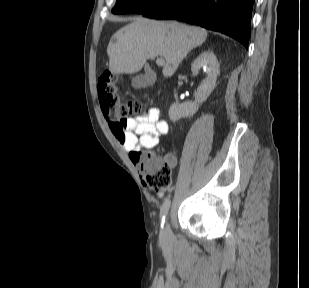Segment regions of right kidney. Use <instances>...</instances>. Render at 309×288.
Listing matches in <instances>:
<instances>
[{
  "label": "right kidney",
  "instance_id": "ca27d5eb",
  "mask_svg": "<svg viewBox=\"0 0 309 288\" xmlns=\"http://www.w3.org/2000/svg\"><path fill=\"white\" fill-rule=\"evenodd\" d=\"M202 67L207 68V77L198 87L195 101L172 104L169 109V117L172 121L175 122L181 118L193 116L197 112L199 105L206 101L214 90L219 73V63L212 51L208 50L201 53L191 65V71L196 75Z\"/></svg>",
  "mask_w": 309,
  "mask_h": 288
}]
</instances>
